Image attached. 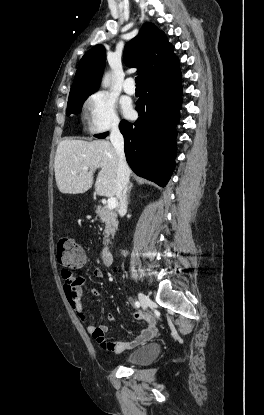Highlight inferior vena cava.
Returning a JSON list of instances; mask_svg holds the SVG:
<instances>
[{
  "label": "inferior vena cava",
  "instance_id": "inferior-vena-cava-1",
  "mask_svg": "<svg viewBox=\"0 0 264 415\" xmlns=\"http://www.w3.org/2000/svg\"><path fill=\"white\" fill-rule=\"evenodd\" d=\"M110 141L118 157V168L116 178L115 194L119 199V214L127 211V189L129 184L130 170L124 153V140L117 125L113 126L110 134Z\"/></svg>",
  "mask_w": 264,
  "mask_h": 415
}]
</instances>
